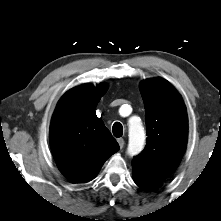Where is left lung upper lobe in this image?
Returning a JSON list of instances; mask_svg holds the SVG:
<instances>
[{"label":"left lung upper lobe","instance_id":"left-lung-upper-lobe-1","mask_svg":"<svg viewBox=\"0 0 221 221\" xmlns=\"http://www.w3.org/2000/svg\"><path fill=\"white\" fill-rule=\"evenodd\" d=\"M140 92L148 137L145 149L133 158L132 166L162 182L183 157L188 139L187 111L178 91L165 79L143 81Z\"/></svg>","mask_w":221,"mask_h":221}]
</instances>
